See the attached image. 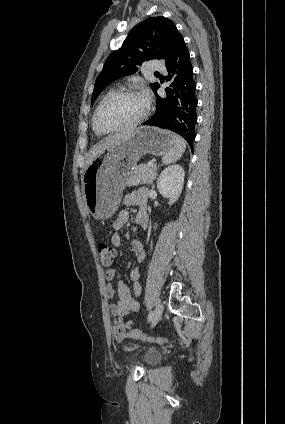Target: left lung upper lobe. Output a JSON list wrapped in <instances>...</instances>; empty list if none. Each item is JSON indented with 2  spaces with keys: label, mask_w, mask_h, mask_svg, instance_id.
Masks as SVG:
<instances>
[{
  "label": "left lung upper lobe",
  "mask_w": 285,
  "mask_h": 424,
  "mask_svg": "<svg viewBox=\"0 0 285 424\" xmlns=\"http://www.w3.org/2000/svg\"><path fill=\"white\" fill-rule=\"evenodd\" d=\"M181 37L175 24L162 16L151 17L136 25L121 48L112 52L96 79L91 104L100 92L114 80L137 71V65L145 60H167ZM158 83H152L153 91Z\"/></svg>",
  "instance_id": "obj_1"
}]
</instances>
